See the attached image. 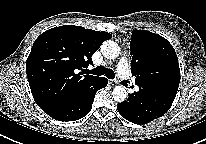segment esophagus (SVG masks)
Returning a JSON list of instances; mask_svg holds the SVG:
<instances>
[{"instance_id":"obj_1","label":"esophagus","mask_w":206,"mask_h":144,"mask_svg":"<svg viewBox=\"0 0 206 144\" xmlns=\"http://www.w3.org/2000/svg\"><path fill=\"white\" fill-rule=\"evenodd\" d=\"M109 84H110L111 86H116V85L118 84V81L115 80V79H111V80H109Z\"/></svg>"}]
</instances>
